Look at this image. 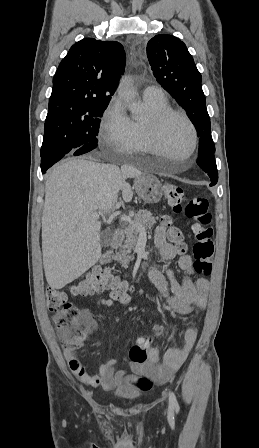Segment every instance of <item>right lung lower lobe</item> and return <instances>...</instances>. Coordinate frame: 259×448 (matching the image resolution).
<instances>
[{"instance_id":"obj_1","label":"right lung lower lobe","mask_w":259,"mask_h":448,"mask_svg":"<svg viewBox=\"0 0 259 448\" xmlns=\"http://www.w3.org/2000/svg\"><path fill=\"white\" fill-rule=\"evenodd\" d=\"M65 155H58L53 157H45L41 159V170L42 173H45L48 168H50L52 165H54L56 162H58L60 159H62Z\"/></svg>"}]
</instances>
